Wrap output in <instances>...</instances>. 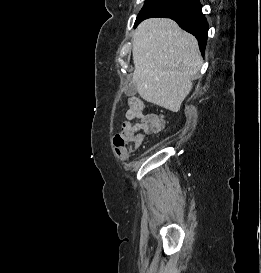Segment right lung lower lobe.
Wrapping results in <instances>:
<instances>
[{"label": "right lung lower lobe", "mask_w": 261, "mask_h": 273, "mask_svg": "<svg viewBox=\"0 0 261 273\" xmlns=\"http://www.w3.org/2000/svg\"><path fill=\"white\" fill-rule=\"evenodd\" d=\"M167 3L171 9L150 17H165L175 20L182 29L197 38L200 51L204 54L207 42L208 23L202 14L199 0H167Z\"/></svg>", "instance_id": "right-lung-lower-lobe-1"}]
</instances>
